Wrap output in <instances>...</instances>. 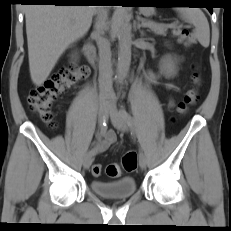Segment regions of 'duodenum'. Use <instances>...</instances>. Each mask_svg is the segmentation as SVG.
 I'll use <instances>...</instances> for the list:
<instances>
[{
  "instance_id": "obj_1",
  "label": "duodenum",
  "mask_w": 231,
  "mask_h": 231,
  "mask_svg": "<svg viewBox=\"0 0 231 231\" xmlns=\"http://www.w3.org/2000/svg\"><path fill=\"white\" fill-rule=\"evenodd\" d=\"M84 53H85L86 58L91 64H95L97 62L96 50L92 43L85 44Z\"/></svg>"
}]
</instances>
